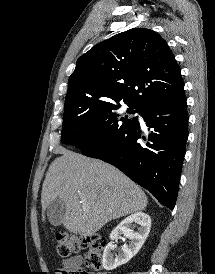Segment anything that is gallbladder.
I'll list each match as a JSON object with an SVG mask.
<instances>
[{
  "instance_id": "gallbladder-1",
  "label": "gallbladder",
  "mask_w": 215,
  "mask_h": 274,
  "mask_svg": "<svg viewBox=\"0 0 215 274\" xmlns=\"http://www.w3.org/2000/svg\"><path fill=\"white\" fill-rule=\"evenodd\" d=\"M65 214L64 203L56 199L46 209V216L49 222L54 226H59Z\"/></svg>"
}]
</instances>
